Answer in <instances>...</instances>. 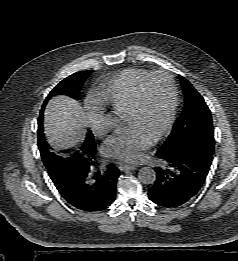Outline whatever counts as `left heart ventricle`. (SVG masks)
Masks as SVG:
<instances>
[{
	"mask_svg": "<svg viewBox=\"0 0 238 261\" xmlns=\"http://www.w3.org/2000/svg\"><path fill=\"white\" fill-rule=\"evenodd\" d=\"M171 90L169 82L164 77H157L147 85L143 104L137 113L126 115L127 127L138 126L154 136L163 126L169 113Z\"/></svg>",
	"mask_w": 238,
	"mask_h": 261,
	"instance_id": "1",
	"label": "left heart ventricle"
}]
</instances>
